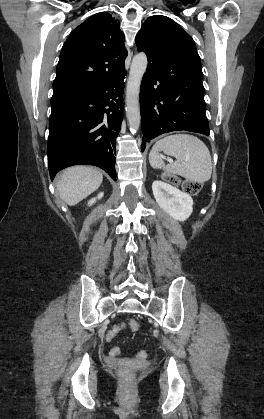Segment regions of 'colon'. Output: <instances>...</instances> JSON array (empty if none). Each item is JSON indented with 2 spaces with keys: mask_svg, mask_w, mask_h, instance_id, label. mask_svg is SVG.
Masks as SVG:
<instances>
[{
  "mask_svg": "<svg viewBox=\"0 0 264 419\" xmlns=\"http://www.w3.org/2000/svg\"><path fill=\"white\" fill-rule=\"evenodd\" d=\"M164 179L172 184L179 183V179L170 174H165ZM182 189L184 192L188 194L195 195L201 190V184L195 181L185 180L182 182ZM127 325L131 331H137L139 329V323L135 319L129 320ZM147 355H148L147 352L144 350H141L137 353V356L141 359H145ZM120 373L124 378H129L130 376V370L126 367L121 368Z\"/></svg>",
  "mask_w": 264,
  "mask_h": 419,
  "instance_id": "obj_1",
  "label": "colon"
}]
</instances>
